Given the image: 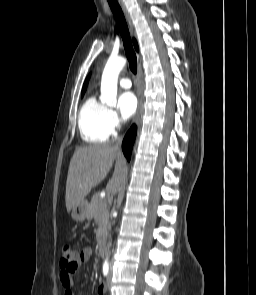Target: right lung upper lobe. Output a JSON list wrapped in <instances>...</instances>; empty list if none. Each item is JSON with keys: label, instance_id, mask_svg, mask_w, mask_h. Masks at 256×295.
<instances>
[{"label": "right lung upper lobe", "instance_id": "obj_1", "mask_svg": "<svg viewBox=\"0 0 256 295\" xmlns=\"http://www.w3.org/2000/svg\"><path fill=\"white\" fill-rule=\"evenodd\" d=\"M133 42H134V45H135L136 50H138V47H137V43H136V41L133 40ZM88 80H89V76H88V78L86 79V81H85V83H84V85H83L82 94H84V92H85V90H86Z\"/></svg>", "mask_w": 256, "mask_h": 295}]
</instances>
